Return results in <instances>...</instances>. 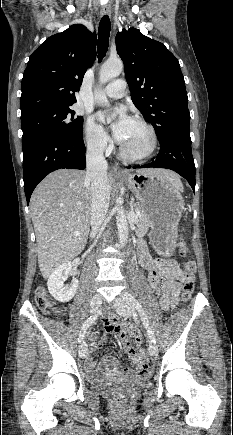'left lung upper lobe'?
Instances as JSON below:
<instances>
[{"mask_svg":"<svg viewBox=\"0 0 233 435\" xmlns=\"http://www.w3.org/2000/svg\"><path fill=\"white\" fill-rule=\"evenodd\" d=\"M116 49L124 62L132 101L154 127L159 142L190 130L185 81L176 57L136 28L117 34Z\"/></svg>","mask_w":233,"mask_h":435,"instance_id":"obj_1","label":"left lung upper lobe"}]
</instances>
